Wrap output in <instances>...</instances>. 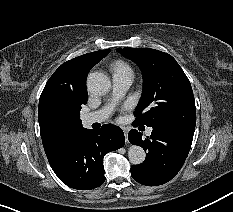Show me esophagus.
Wrapping results in <instances>:
<instances>
[{
  "label": "esophagus",
  "mask_w": 233,
  "mask_h": 212,
  "mask_svg": "<svg viewBox=\"0 0 233 212\" xmlns=\"http://www.w3.org/2000/svg\"><path fill=\"white\" fill-rule=\"evenodd\" d=\"M125 141L128 143V132L124 130Z\"/></svg>",
  "instance_id": "esophagus-1"
}]
</instances>
